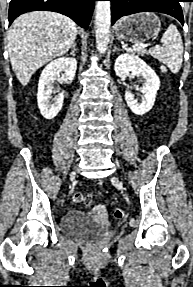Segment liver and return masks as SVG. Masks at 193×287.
Segmentation results:
<instances>
[{
	"label": "liver",
	"mask_w": 193,
	"mask_h": 287,
	"mask_svg": "<svg viewBox=\"0 0 193 287\" xmlns=\"http://www.w3.org/2000/svg\"><path fill=\"white\" fill-rule=\"evenodd\" d=\"M77 32L76 23L59 13L34 11L19 16L8 31L9 57L19 82L27 85L40 67L67 53Z\"/></svg>",
	"instance_id": "liver-1"
}]
</instances>
